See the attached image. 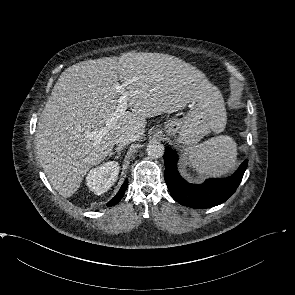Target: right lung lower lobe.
<instances>
[{
	"label": "right lung lower lobe",
	"instance_id": "right-lung-lower-lobe-1",
	"mask_svg": "<svg viewBox=\"0 0 295 295\" xmlns=\"http://www.w3.org/2000/svg\"><path fill=\"white\" fill-rule=\"evenodd\" d=\"M127 187H128V181L125 180V182L123 183L119 192L116 194V196L111 201L108 202L107 206L110 207V206L117 204L124 196V193H125Z\"/></svg>",
	"mask_w": 295,
	"mask_h": 295
}]
</instances>
